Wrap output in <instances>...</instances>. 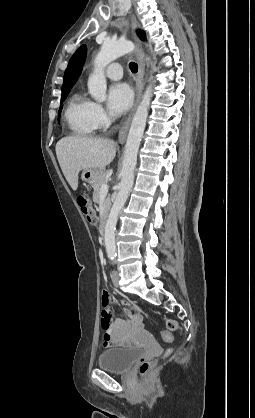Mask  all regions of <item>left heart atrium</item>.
Wrapping results in <instances>:
<instances>
[{
    "instance_id": "left-heart-atrium-1",
    "label": "left heart atrium",
    "mask_w": 255,
    "mask_h": 418,
    "mask_svg": "<svg viewBox=\"0 0 255 418\" xmlns=\"http://www.w3.org/2000/svg\"><path fill=\"white\" fill-rule=\"evenodd\" d=\"M133 102V93L125 83L113 84L108 91L107 106L113 116L127 112Z\"/></svg>"
}]
</instances>
